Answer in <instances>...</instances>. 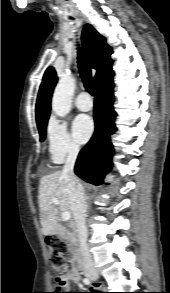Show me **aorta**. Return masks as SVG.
Returning <instances> with one entry per match:
<instances>
[{
  "mask_svg": "<svg viewBox=\"0 0 170 293\" xmlns=\"http://www.w3.org/2000/svg\"><path fill=\"white\" fill-rule=\"evenodd\" d=\"M75 90V80L71 76H63L53 93L52 111L59 117L66 116L71 109V99Z\"/></svg>",
  "mask_w": 170,
  "mask_h": 293,
  "instance_id": "obj_1",
  "label": "aorta"
}]
</instances>
